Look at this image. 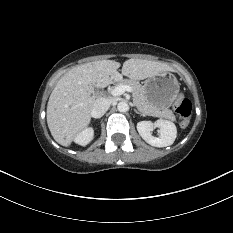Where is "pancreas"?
Returning a JSON list of instances; mask_svg holds the SVG:
<instances>
[{
	"instance_id": "cf45deb5",
	"label": "pancreas",
	"mask_w": 233,
	"mask_h": 233,
	"mask_svg": "<svg viewBox=\"0 0 233 233\" xmlns=\"http://www.w3.org/2000/svg\"><path fill=\"white\" fill-rule=\"evenodd\" d=\"M120 85L130 86L132 88L133 102L143 114L176 121V117L170 109H159L148 103L144 88L139 82L131 79H123L118 82L116 87Z\"/></svg>"
}]
</instances>
